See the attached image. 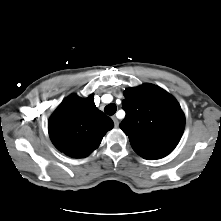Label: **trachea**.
<instances>
[{
  "label": "trachea",
  "mask_w": 221,
  "mask_h": 221,
  "mask_svg": "<svg viewBox=\"0 0 221 221\" xmlns=\"http://www.w3.org/2000/svg\"><path fill=\"white\" fill-rule=\"evenodd\" d=\"M116 110H117V107L115 104L111 103L109 105H107L105 108H104V112L107 114V115H114L116 113Z\"/></svg>",
  "instance_id": "1"
}]
</instances>
